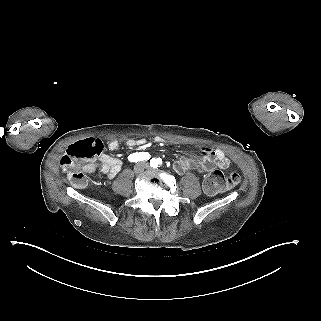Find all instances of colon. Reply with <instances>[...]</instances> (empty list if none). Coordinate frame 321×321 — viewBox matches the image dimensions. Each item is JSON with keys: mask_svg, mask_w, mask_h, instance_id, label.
Returning <instances> with one entry per match:
<instances>
[{"mask_svg": "<svg viewBox=\"0 0 321 321\" xmlns=\"http://www.w3.org/2000/svg\"><path fill=\"white\" fill-rule=\"evenodd\" d=\"M103 151L101 143L94 140H84L72 144L60 159V165L67 174L69 182L76 188H83L87 184L85 174L76 168L75 161L91 159L99 156ZM240 182L238 173L225 176L222 171H212L204 180L203 187L208 194H218L232 189Z\"/></svg>", "mask_w": 321, "mask_h": 321, "instance_id": "5ec220e1", "label": "colon"}]
</instances>
